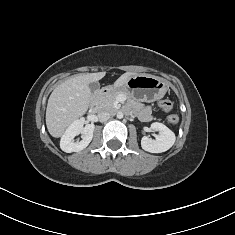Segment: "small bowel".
<instances>
[{
    "mask_svg": "<svg viewBox=\"0 0 235 235\" xmlns=\"http://www.w3.org/2000/svg\"><path fill=\"white\" fill-rule=\"evenodd\" d=\"M141 119L142 120H150L151 119V112H150V109L149 108H144L142 111H141Z\"/></svg>",
    "mask_w": 235,
    "mask_h": 235,
    "instance_id": "small-bowel-1",
    "label": "small bowel"
}]
</instances>
